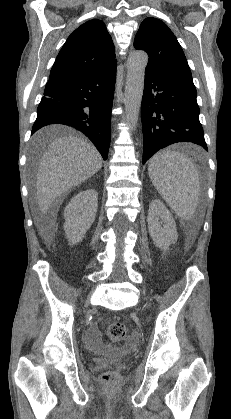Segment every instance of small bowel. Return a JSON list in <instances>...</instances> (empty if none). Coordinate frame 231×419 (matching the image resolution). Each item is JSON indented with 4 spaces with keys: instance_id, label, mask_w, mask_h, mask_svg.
I'll return each instance as SVG.
<instances>
[{
    "instance_id": "small-bowel-1",
    "label": "small bowel",
    "mask_w": 231,
    "mask_h": 419,
    "mask_svg": "<svg viewBox=\"0 0 231 419\" xmlns=\"http://www.w3.org/2000/svg\"><path fill=\"white\" fill-rule=\"evenodd\" d=\"M131 341H135V338L132 337ZM87 343L89 348L93 350L99 349V330L96 324L90 326L87 332Z\"/></svg>"
}]
</instances>
